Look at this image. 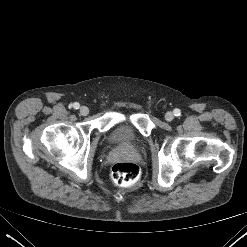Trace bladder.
Returning a JSON list of instances; mask_svg holds the SVG:
<instances>
[{
	"instance_id": "obj_1",
	"label": "bladder",
	"mask_w": 247,
	"mask_h": 247,
	"mask_svg": "<svg viewBox=\"0 0 247 247\" xmlns=\"http://www.w3.org/2000/svg\"><path fill=\"white\" fill-rule=\"evenodd\" d=\"M110 141L122 146H134L138 144L134 132L128 125L121 124L115 127L110 134Z\"/></svg>"
}]
</instances>
